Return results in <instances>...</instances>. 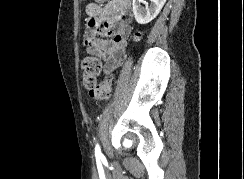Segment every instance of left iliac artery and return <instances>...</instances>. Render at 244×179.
I'll use <instances>...</instances> for the list:
<instances>
[{"instance_id": "obj_1", "label": "left iliac artery", "mask_w": 244, "mask_h": 179, "mask_svg": "<svg viewBox=\"0 0 244 179\" xmlns=\"http://www.w3.org/2000/svg\"><path fill=\"white\" fill-rule=\"evenodd\" d=\"M95 156H103V154L101 153V150H100V146L98 144H96V147H95Z\"/></svg>"}]
</instances>
